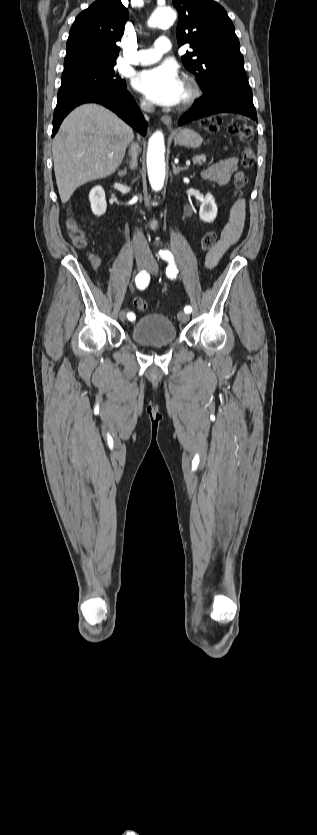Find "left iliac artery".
I'll list each match as a JSON object with an SVG mask.
<instances>
[{"instance_id":"left-iliac-artery-1","label":"left iliac artery","mask_w":317,"mask_h":835,"mask_svg":"<svg viewBox=\"0 0 317 835\" xmlns=\"http://www.w3.org/2000/svg\"><path fill=\"white\" fill-rule=\"evenodd\" d=\"M159 255L163 260H165L169 263L167 268H166L167 277H169L171 279H175L176 276H177V273H178V269L175 265L173 254L169 250H160ZM191 311H192L191 306H189V305L185 306L184 312L190 313Z\"/></svg>"}]
</instances>
